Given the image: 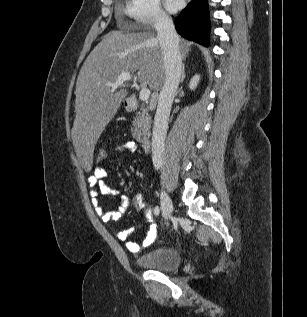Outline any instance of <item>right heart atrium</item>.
I'll use <instances>...</instances> for the list:
<instances>
[{"label": "right heart atrium", "mask_w": 307, "mask_h": 317, "mask_svg": "<svg viewBox=\"0 0 307 317\" xmlns=\"http://www.w3.org/2000/svg\"><path fill=\"white\" fill-rule=\"evenodd\" d=\"M126 12L141 25L160 26L169 20L159 0H128Z\"/></svg>", "instance_id": "d8ad5b80"}]
</instances>
